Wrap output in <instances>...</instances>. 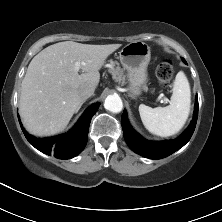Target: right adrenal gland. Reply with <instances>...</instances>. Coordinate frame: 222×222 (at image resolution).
I'll return each mask as SVG.
<instances>
[{"label":"right adrenal gland","instance_id":"1","mask_svg":"<svg viewBox=\"0 0 222 222\" xmlns=\"http://www.w3.org/2000/svg\"><path fill=\"white\" fill-rule=\"evenodd\" d=\"M84 102H85V100L81 103V105H82ZM81 105H80V107H81ZM80 107L78 108V110L80 109ZM78 110H77V111H78Z\"/></svg>","mask_w":222,"mask_h":222}]
</instances>
